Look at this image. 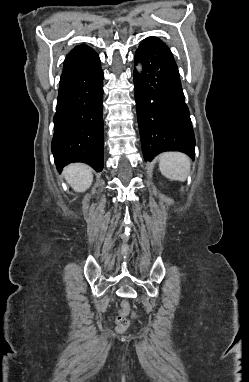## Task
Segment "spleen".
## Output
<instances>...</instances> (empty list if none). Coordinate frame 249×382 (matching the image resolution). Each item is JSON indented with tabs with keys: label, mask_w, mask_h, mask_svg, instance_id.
Masks as SVG:
<instances>
[{
	"label": "spleen",
	"mask_w": 249,
	"mask_h": 382,
	"mask_svg": "<svg viewBox=\"0 0 249 382\" xmlns=\"http://www.w3.org/2000/svg\"><path fill=\"white\" fill-rule=\"evenodd\" d=\"M158 161L162 175L172 180L186 181L191 165L187 155L180 152H165L159 155Z\"/></svg>",
	"instance_id": "3e777b00"
}]
</instances>
